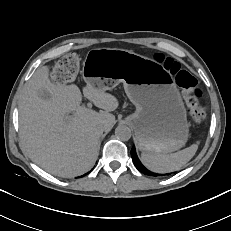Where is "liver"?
<instances>
[{"mask_svg": "<svg viewBox=\"0 0 231 231\" xmlns=\"http://www.w3.org/2000/svg\"><path fill=\"white\" fill-rule=\"evenodd\" d=\"M49 75L48 66L38 69L21 94V141L42 169L59 177H75L95 164L99 139L115 124V116L109 112L117 109L119 102L85 81L84 96L103 110L87 109L81 105L82 94L75 84L52 82Z\"/></svg>", "mask_w": 231, "mask_h": 231, "instance_id": "6515ba94", "label": "liver"}]
</instances>
